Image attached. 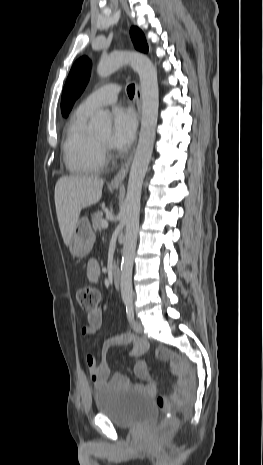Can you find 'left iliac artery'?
Returning <instances> with one entry per match:
<instances>
[{
    "label": "left iliac artery",
    "mask_w": 263,
    "mask_h": 465,
    "mask_svg": "<svg viewBox=\"0 0 263 465\" xmlns=\"http://www.w3.org/2000/svg\"><path fill=\"white\" fill-rule=\"evenodd\" d=\"M126 304V314H127V319L129 322H132L134 320V306L131 301H128L125 303Z\"/></svg>",
    "instance_id": "1"
}]
</instances>
